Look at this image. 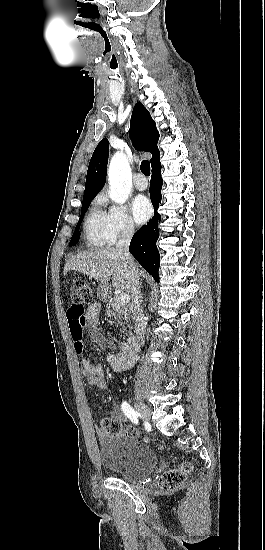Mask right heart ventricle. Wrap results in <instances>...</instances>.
Here are the masks:
<instances>
[{
    "label": "right heart ventricle",
    "instance_id": "obj_1",
    "mask_svg": "<svg viewBox=\"0 0 265 550\" xmlns=\"http://www.w3.org/2000/svg\"><path fill=\"white\" fill-rule=\"evenodd\" d=\"M83 234L89 247L101 248L113 241L108 232L106 213L98 207H93L84 221Z\"/></svg>",
    "mask_w": 265,
    "mask_h": 550
}]
</instances>
